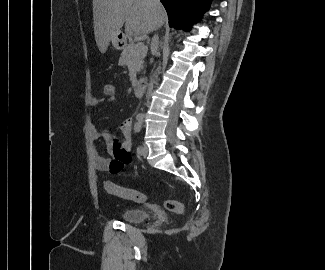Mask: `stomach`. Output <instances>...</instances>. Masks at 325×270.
<instances>
[{
  "instance_id": "obj_1",
  "label": "stomach",
  "mask_w": 325,
  "mask_h": 270,
  "mask_svg": "<svg viewBox=\"0 0 325 270\" xmlns=\"http://www.w3.org/2000/svg\"><path fill=\"white\" fill-rule=\"evenodd\" d=\"M112 44L116 49H123L126 46V36L118 33L113 39Z\"/></svg>"
}]
</instances>
